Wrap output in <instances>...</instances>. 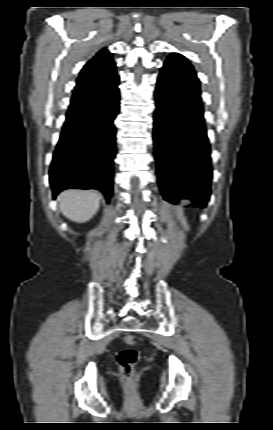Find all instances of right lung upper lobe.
<instances>
[{
	"instance_id": "1",
	"label": "right lung upper lobe",
	"mask_w": 273,
	"mask_h": 430,
	"mask_svg": "<svg viewBox=\"0 0 273 430\" xmlns=\"http://www.w3.org/2000/svg\"><path fill=\"white\" fill-rule=\"evenodd\" d=\"M115 67L110 52L105 48L100 50L81 70L70 107L86 101L91 87L116 76Z\"/></svg>"
}]
</instances>
